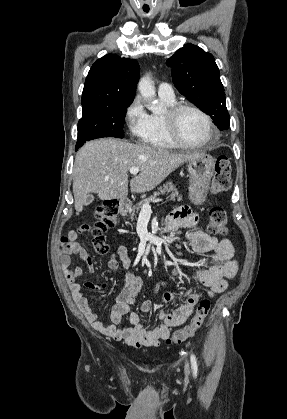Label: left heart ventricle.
Wrapping results in <instances>:
<instances>
[{
	"label": "left heart ventricle",
	"mask_w": 287,
	"mask_h": 419,
	"mask_svg": "<svg viewBox=\"0 0 287 419\" xmlns=\"http://www.w3.org/2000/svg\"><path fill=\"white\" fill-rule=\"evenodd\" d=\"M177 128L185 141L194 144L205 141L210 134L204 118L193 110H184L179 114Z\"/></svg>",
	"instance_id": "obj_1"
}]
</instances>
